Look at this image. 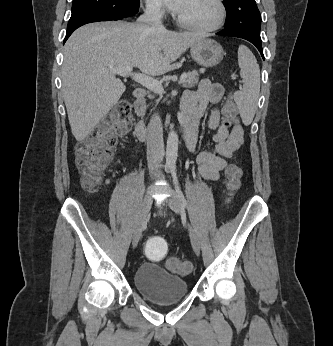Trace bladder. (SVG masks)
<instances>
[{"instance_id": "31cf9c89", "label": "bladder", "mask_w": 333, "mask_h": 346, "mask_svg": "<svg viewBox=\"0 0 333 346\" xmlns=\"http://www.w3.org/2000/svg\"><path fill=\"white\" fill-rule=\"evenodd\" d=\"M137 291L151 302L167 304L180 301L188 292V283L152 263L140 265L134 274Z\"/></svg>"}]
</instances>
